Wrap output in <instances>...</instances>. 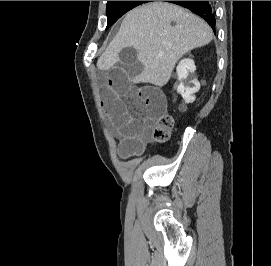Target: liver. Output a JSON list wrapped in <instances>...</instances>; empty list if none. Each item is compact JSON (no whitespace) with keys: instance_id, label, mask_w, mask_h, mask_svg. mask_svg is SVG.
Wrapping results in <instances>:
<instances>
[{"instance_id":"1","label":"liver","mask_w":271,"mask_h":266,"mask_svg":"<svg viewBox=\"0 0 271 266\" xmlns=\"http://www.w3.org/2000/svg\"><path fill=\"white\" fill-rule=\"evenodd\" d=\"M212 38L210 26L195 14L174 4L148 3L127 13L118 33L98 59L97 67L100 70L113 67V62L120 60V51L133 47L146 69L133 82L162 87L184 54L208 44Z\"/></svg>"}]
</instances>
